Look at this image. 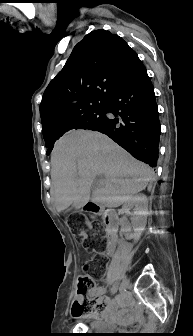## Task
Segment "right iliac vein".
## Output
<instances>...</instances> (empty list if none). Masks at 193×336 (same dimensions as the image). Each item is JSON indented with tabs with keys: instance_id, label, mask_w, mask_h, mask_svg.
Instances as JSON below:
<instances>
[{
	"instance_id": "1",
	"label": "right iliac vein",
	"mask_w": 193,
	"mask_h": 336,
	"mask_svg": "<svg viewBox=\"0 0 193 336\" xmlns=\"http://www.w3.org/2000/svg\"><path fill=\"white\" fill-rule=\"evenodd\" d=\"M129 286V280L127 278L123 279V281L120 284V291L124 292Z\"/></svg>"
}]
</instances>
